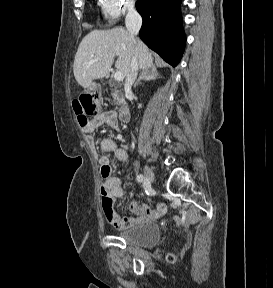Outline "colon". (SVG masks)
I'll return each instance as SVG.
<instances>
[{
	"instance_id": "1",
	"label": "colon",
	"mask_w": 273,
	"mask_h": 288,
	"mask_svg": "<svg viewBox=\"0 0 273 288\" xmlns=\"http://www.w3.org/2000/svg\"><path fill=\"white\" fill-rule=\"evenodd\" d=\"M101 109V102L97 94L84 93L73 101V110L82 128L88 127L89 117L97 115ZM170 260H174L171 256Z\"/></svg>"
}]
</instances>
